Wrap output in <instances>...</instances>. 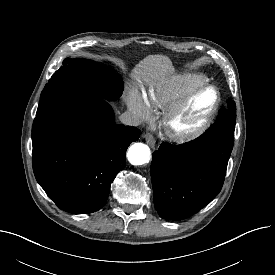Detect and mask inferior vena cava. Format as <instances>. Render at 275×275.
Returning <instances> with one entry per match:
<instances>
[{
  "instance_id": "obj_1",
  "label": "inferior vena cava",
  "mask_w": 275,
  "mask_h": 275,
  "mask_svg": "<svg viewBox=\"0 0 275 275\" xmlns=\"http://www.w3.org/2000/svg\"><path fill=\"white\" fill-rule=\"evenodd\" d=\"M119 120L124 125L138 126L141 123L140 117L131 112H124L120 115Z\"/></svg>"
}]
</instances>
